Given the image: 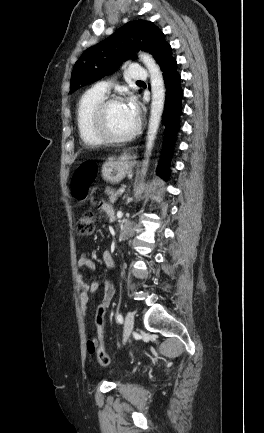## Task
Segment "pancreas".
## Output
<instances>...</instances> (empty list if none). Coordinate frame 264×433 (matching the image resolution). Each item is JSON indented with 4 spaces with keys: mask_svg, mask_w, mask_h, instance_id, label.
I'll use <instances>...</instances> for the list:
<instances>
[{
    "mask_svg": "<svg viewBox=\"0 0 264 433\" xmlns=\"http://www.w3.org/2000/svg\"><path fill=\"white\" fill-rule=\"evenodd\" d=\"M105 193L109 195V201L110 203H115L117 198L120 196L118 191H115L114 189H111L109 187L106 188Z\"/></svg>",
    "mask_w": 264,
    "mask_h": 433,
    "instance_id": "cf45deb5",
    "label": "pancreas"
}]
</instances>
